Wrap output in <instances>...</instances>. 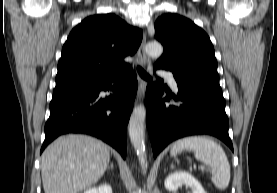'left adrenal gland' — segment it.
<instances>
[{"instance_id":"1","label":"left adrenal gland","mask_w":277,"mask_h":193,"mask_svg":"<svg viewBox=\"0 0 277 193\" xmlns=\"http://www.w3.org/2000/svg\"><path fill=\"white\" fill-rule=\"evenodd\" d=\"M171 168H174V166H173V165H171Z\"/></svg>"}]
</instances>
